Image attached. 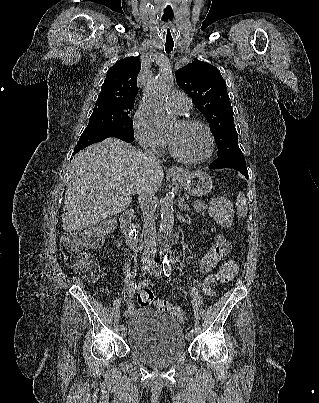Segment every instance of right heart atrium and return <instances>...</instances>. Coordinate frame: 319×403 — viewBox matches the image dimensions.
<instances>
[{
  "label": "right heart atrium",
  "instance_id": "obj_1",
  "mask_svg": "<svg viewBox=\"0 0 319 403\" xmlns=\"http://www.w3.org/2000/svg\"><path fill=\"white\" fill-rule=\"evenodd\" d=\"M134 137L146 151L160 154L166 147V140L157 130L144 109L136 110L132 119Z\"/></svg>",
  "mask_w": 319,
  "mask_h": 403
}]
</instances>
